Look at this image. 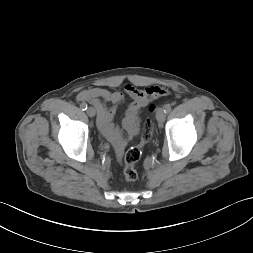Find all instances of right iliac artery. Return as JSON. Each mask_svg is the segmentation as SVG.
<instances>
[{
  "instance_id": "obj_1",
  "label": "right iliac artery",
  "mask_w": 253,
  "mask_h": 253,
  "mask_svg": "<svg viewBox=\"0 0 253 253\" xmlns=\"http://www.w3.org/2000/svg\"><path fill=\"white\" fill-rule=\"evenodd\" d=\"M87 104L86 103H81L80 104V108L84 111V110H86L87 109Z\"/></svg>"
}]
</instances>
